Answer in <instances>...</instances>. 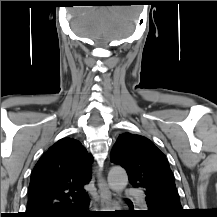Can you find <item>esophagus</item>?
<instances>
[{"mask_svg": "<svg viewBox=\"0 0 217 217\" xmlns=\"http://www.w3.org/2000/svg\"><path fill=\"white\" fill-rule=\"evenodd\" d=\"M98 188H99V196H100V205L105 210L114 209V201L112 199V193L107 185V182L101 173L100 169L96 167L95 169Z\"/></svg>", "mask_w": 217, "mask_h": 217, "instance_id": "esophagus-1", "label": "esophagus"}]
</instances>
